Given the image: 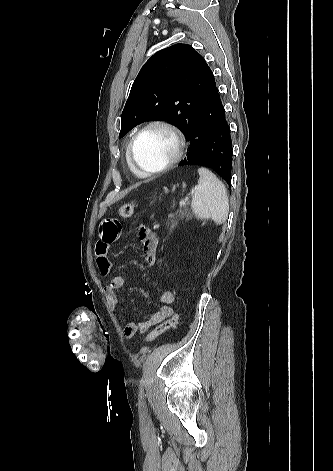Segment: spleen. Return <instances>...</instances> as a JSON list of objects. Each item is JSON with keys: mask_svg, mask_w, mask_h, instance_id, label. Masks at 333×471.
Masks as SVG:
<instances>
[{"mask_svg": "<svg viewBox=\"0 0 333 471\" xmlns=\"http://www.w3.org/2000/svg\"><path fill=\"white\" fill-rule=\"evenodd\" d=\"M200 178L191 207L198 219H211L221 225L227 220L229 202L224 184L209 169H198Z\"/></svg>", "mask_w": 333, "mask_h": 471, "instance_id": "3e777b00", "label": "spleen"}]
</instances>
